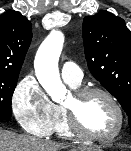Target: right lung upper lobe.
Listing matches in <instances>:
<instances>
[{
	"label": "right lung upper lobe",
	"mask_w": 131,
	"mask_h": 151,
	"mask_svg": "<svg viewBox=\"0 0 131 151\" xmlns=\"http://www.w3.org/2000/svg\"><path fill=\"white\" fill-rule=\"evenodd\" d=\"M31 38V22L25 16L13 10L0 15V72H20Z\"/></svg>",
	"instance_id": "cb5924a9"
}]
</instances>
